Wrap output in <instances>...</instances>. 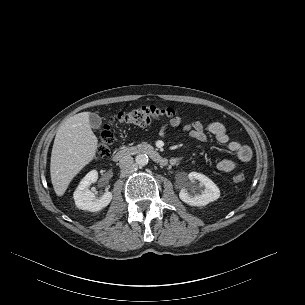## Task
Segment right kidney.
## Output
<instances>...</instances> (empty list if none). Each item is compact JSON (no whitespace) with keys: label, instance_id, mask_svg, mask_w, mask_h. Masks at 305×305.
Returning <instances> with one entry per match:
<instances>
[{"label":"right kidney","instance_id":"1","mask_svg":"<svg viewBox=\"0 0 305 305\" xmlns=\"http://www.w3.org/2000/svg\"><path fill=\"white\" fill-rule=\"evenodd\" d=\"M97 179L98 172L96 170H92L78 185L73 197L75 204L79 209L95 212L105 208L111 202V192H106L102 197L96 198L94 193L88 189L90 184L96 182Z\"/></svg>","mask_w":305,"mask_h":305}]
</instances>
